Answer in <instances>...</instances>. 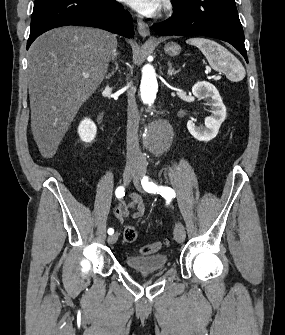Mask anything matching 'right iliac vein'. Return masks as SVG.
Segmentation results:
<instances>
[{"instance_id": "right-iliac-vein-1", "label": "right iliac vein", "mask_w": 285, "mask_h": 335, "mask_svg": "<svg viewBox=\"0 0 285 335\" xmlns=\"http://www.w3.org/2000/svg\"><path fill=\"white\" fill-rule=\"evenodd\" d=\"M137 176V172L132 168H126L123 173L124 184L127 185L134 177ZM118 239V233H115L108 237V242L110 244L116 243Z\"/></svg>"}]
</instances>
